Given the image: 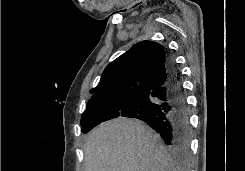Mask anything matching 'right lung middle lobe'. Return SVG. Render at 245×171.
Instances as JSON below:
<instances>
[{"label": "right lung middle lobe", "instance_id": "right-lung-middle-lobe-1", "mask_svg": "<svg viewBox=\"0 0 245 171\" xmlns=\"http://www.w3.org/2000/svg\"><path fill=\"white\" fill-rule=\"evenodd\" d=\"M132 97L120 95L100 101L88 102L81 118L82 132L87 133L97 124L118 113L126 102Z\"/></svg>", "mask_w": 245, "mask_h": 171}]
</instances>
